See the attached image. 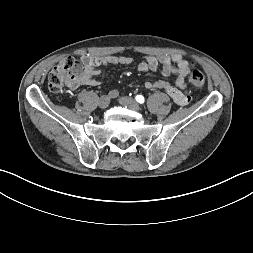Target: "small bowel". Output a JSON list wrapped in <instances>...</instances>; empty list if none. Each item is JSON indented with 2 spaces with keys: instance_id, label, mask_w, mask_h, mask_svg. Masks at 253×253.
I'll return each instance as SVG.
<instances>
[{
  "instance_id": "c3829d8e",
  "label": "small bowel",
  "mask_w": 253,
  "mask_h": 253,
  "mask_svg": "<svg viewBox=\"0 0 253 253\" xmlns=\"http://www.w3.org/2000/svg\"><path fill=\"white\" fill-rule=\"evenodd\" d=\"M81 61L84 64L83 74L71 85L72 88L79 86H97L99 82L96 77L102 74L99 66L107 67L109 65H130L134 62L129 56H82ZM161 68V74L165 77L176 75L175 85H170L166 80H157L154 82H144L146 89L164 90L174 102L179 105L190 106L193 103L192 96L186 92L185 77L191 69V63L179 55L174 56H146L138 64L141 72H153Z\"/></svg>"
}]
</instances>
